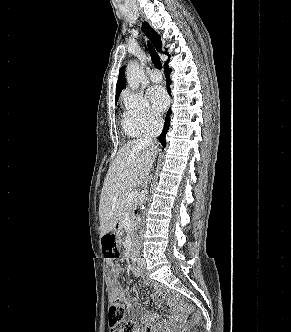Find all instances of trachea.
<instances>
[{
	"mask_svg": "<svg viewBox=\"0 0 291 332\" xmlns=\"http://www.w3.org/2000/svg\"><path fill=\"white\" fill-rule=\"evenodd\" d=\"M148 49L150 51L151 60H152L153 64L155 65V67L161 69L162 68V63L160 61V57L155 52V50H154L153 46L151 45V43H148Z\"/></svg>",
	"mask_w": 291,
	"mask_h": 332,
	"instance_id": "obj_1",
	"label": "trachea"
}]
</instances>
